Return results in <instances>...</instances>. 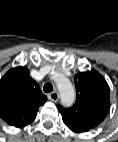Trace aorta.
Listing matches in <instances>:
<instances>
[{"label":"aorta","instance_id":"aorta-1","mask_svg":"<svg viewBox=\"0 0 118 142\" xmlns=\"http://www.w3.org/2000/svg\"><path fill=\"white\" fill-rule=\"evenodd\" d=\"M54 81L60 93L61 103L71 106L75 101V90L71 81L61 73L54 75Z\"/></svg>","mask_w":118,"mask_h":142}]
</instances>
